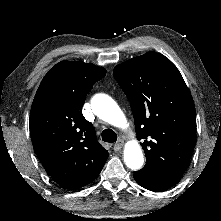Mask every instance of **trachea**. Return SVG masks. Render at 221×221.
Wrapping results in <instances>:
<instances>
[{
	"label": "trachea",
	"mask_w": 221,
	"mask_h": 221,
	"mask_svg": "<svg viewBox=\"0 0 221 221\" xmlns=\"http://www.w3.org/2000/svg\"><path fill=\"white\" fill-rule=\"evenodd\" d=\"M101 136H102V140L108 143H113V142H116L117 140L116 133L111 129H105L102 132Z\"/></svg>",
	"instance_id": "1"
}]
</instances>
